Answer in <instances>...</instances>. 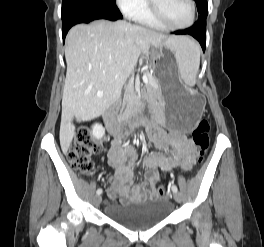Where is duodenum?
Instances as JSON below:
<instances>
[{
  "label": "duodenum",
  "instance_id": "410a0bca",
  "mask_svg": "<svg viewBox=\"0 0 264 247\" xmlns=\"http://www.w3.org/2000/svg\"><path fill=\"white\" fill-rule=\"evenodd\" d=\"M118 110V104H113L106 110L104 114V121L107 130L114 136L124 135L133 127L149 121V116L140 109L136 108L127 119H125L123 122H119L116 118Z\"/></svg>",
  "mask_w": 264,
  "mask_h": 247
}]
</instances>
